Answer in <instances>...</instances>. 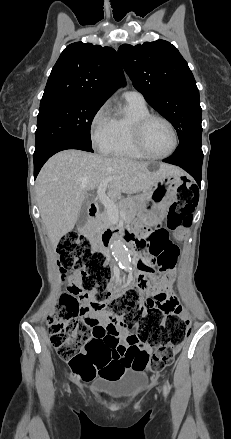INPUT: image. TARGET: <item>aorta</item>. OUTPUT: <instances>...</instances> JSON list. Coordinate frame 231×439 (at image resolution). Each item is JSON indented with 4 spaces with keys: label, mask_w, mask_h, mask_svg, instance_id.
<instances>
[{
    "label": "aorta",
    "mask_w": 231,
    "mask_h": 439,
    "mask_svg": "<svg viewBox=\"0 0 231 439\" xmlns=\"http://www.w3.org/2000/svg\"><path fill=\"white\" fill-rule=\"evenodd\" d=\"M111 249L115 259L119 262V265L127 271L130 270L131 258L123 242L120 240L113 241Z\"/></svg>",
    "instance_id": "1"
}]
</instances>
